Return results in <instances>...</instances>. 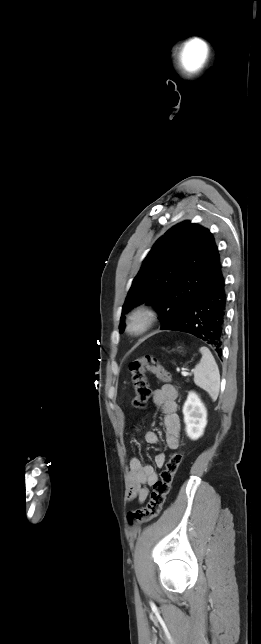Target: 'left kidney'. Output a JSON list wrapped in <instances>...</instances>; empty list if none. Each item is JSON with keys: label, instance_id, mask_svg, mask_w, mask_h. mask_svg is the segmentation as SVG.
Returning <instances> with one entry per match:
<instances>
[{"label": "left kidney", "instance_id": "1", "mask_svg": "<svg viewBox=\"0 0 261 644\" xmlns=\"http://www.w3.org/2000/svg\"><path fill=\"white\" fill-rule=\"evenodd\" d=\"M183 415L188 437L192 440L201 437L207 424V410L195 392H189L183 406Z\"/></svg>", "mask_w": 261, "mask_h": 644}]
</instances>
